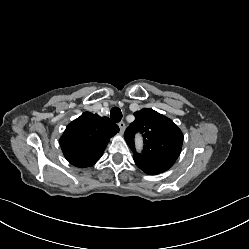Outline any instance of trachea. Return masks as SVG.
I'll return each instance as SVG.
<instances>
[{"instance_id":"1","label":"trachea","mask_w":249,"mask_h":249,"mask_svg":"<svg viewBox=\"0 0 249 249\" xmlns=\"http://www.w3.org/2000/svg\"><path fill=\"white\" fill-rule=\"evenodd\" d=\"M110 118L114 121V122H120V120L122 119V112L118 107H114L111 109L110 111Z\"/></svg>"}]
</instances>
